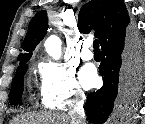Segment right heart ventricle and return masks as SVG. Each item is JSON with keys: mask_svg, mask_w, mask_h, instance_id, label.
<instances>
[{"mask_svg": "<svg viewBox=\"0 0 145 124\" xmlns=\"http://www.w3.org/2000/svg\"><path fill=\"white\" fill-rule=\"evenodd\" d=\"M46 107H48L45 103H43Z\"/></svg>", "mask_w": 145, "mask_h": 124, "instance_id": "e07e8e85", "label": "right heart ventricle"}]
</instances>
